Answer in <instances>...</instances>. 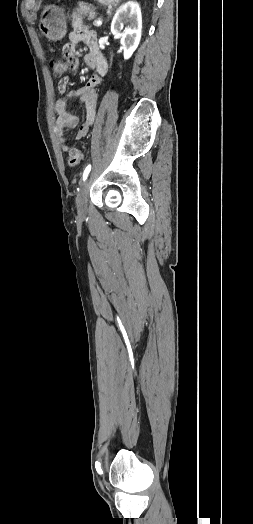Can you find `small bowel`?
<instances>
[{
	"mask_svg": "<svg viewBox=\"0 0 253 524\" xmlns=\"http://www.w3.org/2000/svg\"><path fill=\"white\" fill-rule=\"evenodd\" d=\"M79 43H84L89 48V52L84 56V60L86 65L93 70V75L84 86L69 91L67 90L68 76H64L59 80L57 90L62 97L55 104L57 113L55 129L60 146L65 152L69 150L65 129L75 128L78 124V118L68 111L66 98H79L85 106L84 122L80 125L75 135L77 140L82 139L95 122L98 109L96 87L108 72V63L98 48L96 33L85 27L80 20L74 21L70 41L63 48L67 66L66 71L73 74V69L78 67V59L75 53L76 46Z\"/></svg>",
	"mask_w": 253,
	"mask_h": 524,
	"instance_id": "obj_1",
	"label": "small bowel"
}]
</instances>
